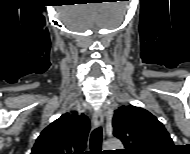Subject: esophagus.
Wrapping results in <instances>:
<instances>
[{
    "label": "esophagus",
    "instance_id": "1",
    "mask_svg": "<svg viewBox=\"0 0 190 154\" xmlns=\"http://www.w3.org/2000/svg\"><path fill=\"white\" fill-rule=\"evenodd\" d=\"M93 124L95 127H100L103 125L104 122V116L103 113L101 111L98 112H94L93 113Z\"/></svg>",
    "mask_w": 190,
    "mask_h": 154
}]
</instances>
